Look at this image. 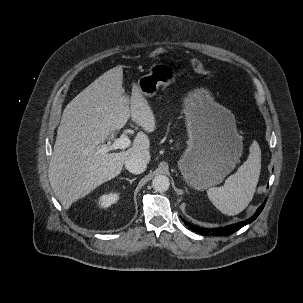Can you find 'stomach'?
I'll return each mask as SVG.
<instances>
[{"label":"stomach","instance_id":"1","mask_svg":"<svg viewBox=\"0 0 303 303\" xmlns=\"http://www.w3.org/2000/svg\"><path fill=\"white\" fill-rule=\"evenodd\" d=\"M175 79L169 65L154 63L137 85L143 96L152 97L160 86H168ZM183 113L189 139L178 167L188 185L205 190L220 184L235 168L243 151L242 137L232 112L216 103L204 88L188 93Z\"/></svg>","mask_w":303,"mask_h":303}]
</instances>
